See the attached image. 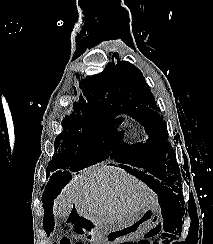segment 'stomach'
Masks as SVG:
<instances>
[{"instance_id":"0dacf381","label":"stomach","mask_w":213,"mask_h":244,"mask_svg":"<svg viewBox=\"0 0 213 244\" xmlns=\"http://www.w3.org/2000/svg\"><path fill=\"white\" fill-rule=\"evenodd\" d=\"M162 222V215L155 205L139 209L132 217L123 221H103L96 223L94 231H100L98 239H91V244H126V239L145 234ZM105 233V234H104Z\"/></svg>"}]
</instances>
